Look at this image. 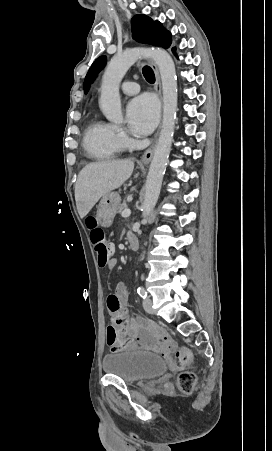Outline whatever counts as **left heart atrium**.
<instances>
[{
    "label": "left heart atrium",
    "mask_w": 272,
    "mask_h": 451,
    "mask_svg": "<svg viewBox=\"0 0 272 451\" xmlns=\"http://www.w3.org/2000/svg\"><path fill=\"white\" fill-rule=\"evenodd\" d=\"M158 117V105L150 95L140 96L130 102L127 108V121L132 132L145 135L154 128Z\"/></svg>",
    "instance_id": "obj_1"
}]
</instances>
